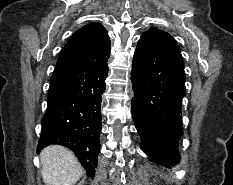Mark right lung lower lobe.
I'll list each match as a JSON object with an SVG mask.
<instances>
[{
    "label": "right lung lower lobe",
    "mask_w": 233,
    "mask_h": 185,
    "mask_svg": "<svg viewBox=\"0 0 233 185\" xmlns=\"http://www.w3.org/2000/svg\"><path fill=\"white\" fill-rule=\"evenodd\" d=\"M107 74V62L55 69L37 147L38 152L50 144L70 148L90 177L95 175L100 151L101 94Z\"/></svg>",
    "instance_id": "right-lung-lower-lobe-1"
}]
</instances>
